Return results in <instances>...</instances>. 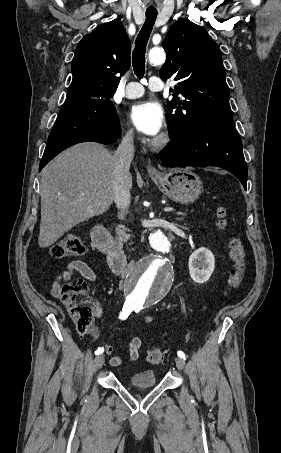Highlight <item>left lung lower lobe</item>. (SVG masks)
<instances>
[{"label": "left lung lower lobe", "instance_id": "obj_1", "mask_svg": "<svg viewBox=\"0 0 281 453\" xmlns=\"http://www.w3.org/2000/svg\"><path fill=\"white\" fill-rule=\"evenodd\" d=\"M159 155L162 165L168 167L224 168L246 189L247 165L233 120L209 124L172 139Z\"/></svg>", "mask_w": 281, "mask_h": 453}]
</instances>
